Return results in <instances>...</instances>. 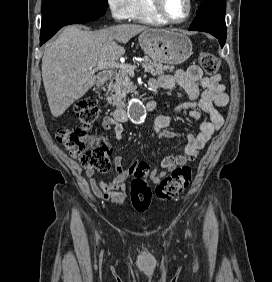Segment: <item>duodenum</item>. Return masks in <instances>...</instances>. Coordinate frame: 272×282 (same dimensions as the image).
Segmentation results:
<instances>
[{"label":"duodenum","mask_w":272,"mask_h":282,"mask_svg":"<svg viewBox=\"0 0 272 282\" xmlns=\"http://www.w3.org/2000/svg\"><path fill=\"white\" fill-rule=\"evenodd\" d=\"M112 77V72L111 71H103L99 75V79L102 82H107L111 79ZM149 85L152 91H155L157 89V79H151L149 81ZM128 102L126 100L120 101L118 106L115 107V109L112 112V117L115 120H125L126 114H125V107L127 106ZM157 106V101L155 99H152L148 101L147 103L144 104V107L147 109H155Z\"/></svg>","instance_id":"410a0bca"}]
</instances>
